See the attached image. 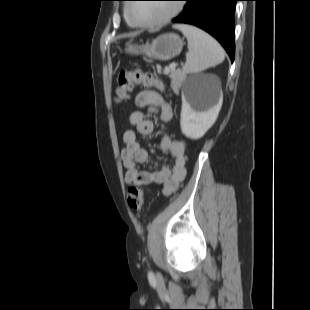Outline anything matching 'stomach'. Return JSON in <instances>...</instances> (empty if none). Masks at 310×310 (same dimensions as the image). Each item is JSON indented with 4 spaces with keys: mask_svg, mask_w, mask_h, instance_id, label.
<instances>
[{
    "mask_svg": "<svg viewBox=\"0 0 310 310\" xmlns=\"http://www.w3.org/2000/svg\"><path fill=\"white\" fill-rule=\"evenodd\" d=\"M183 47V40L176 34H164L151 44L143 46L128 45L125 51L131 54H144L149 58L167 61L177 56Z\"/></svg>",
    "mask_w": 310,
    "mask_h": 310,
    "instance_id": "1",
    "label": "stomach"
}]
</instances>
